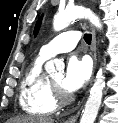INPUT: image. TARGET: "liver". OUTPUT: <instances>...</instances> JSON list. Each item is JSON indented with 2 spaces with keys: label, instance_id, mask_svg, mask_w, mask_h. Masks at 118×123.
Returning <instances> with one entry per match:
<instances>
[{
  "label": "liver",
  "instance_id": "1",
  "mask_svg": "<svg viewBox=\"0 0 118 123\" xmlns=\"http://www.w3.org/2000/svg\"><path fill=\"white\" fill-rule=\"evenodd\" d=\"M7 123H54L52 118L25 116L10 119Z\"/></svg>",
  "mask_w": 118,
  "mask_h": 123
}]
</instances>
